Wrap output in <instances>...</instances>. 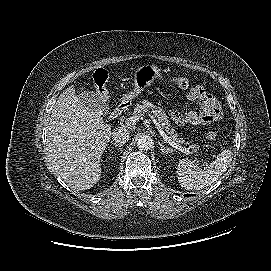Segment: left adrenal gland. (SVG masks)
Instances as JSON below:
<instances>
[{"label": "left adrenal gland", "instance_id": "1", "mask_svg": "<svg viewBox=\"0 0 271 271\" xmlns=\"http://www.w3.org/2000/svg\"><path fill=\"white\" fill-rule=\"evenodd\" d=\"M159 146H160V150H161L162 154L170 153L169 148L165 149L164 145L161 142H159Z\"/></svg>", "mask_w": 271, "mask_h": 271}]
</instances>
